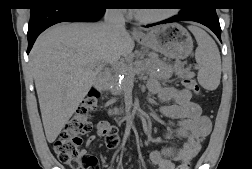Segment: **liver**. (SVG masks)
<instances>
[{
    "label": "liver",
    "mask_w": 252,
    "mask_h": 169,
    "mask_svg": "<svg viewBox=\"0 0 252 169\" xmlns=\"http://www.w3.org/2000/svg\"><path fill=\"white\" fill-rule=\"evenodd\" d=\"M130 34H109L103 23H60L36 40L30 66L46 139L53 143L107 64L128 58Z\"/></svg>",
    "instance_id": "1"
}]
</instances>
